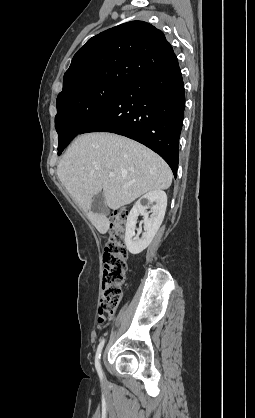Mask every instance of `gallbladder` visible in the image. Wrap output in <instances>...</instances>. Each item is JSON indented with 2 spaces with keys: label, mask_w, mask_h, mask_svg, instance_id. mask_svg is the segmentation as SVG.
<instances>
[{
  "label": "gallbladder",
  "mask_w": 255,
  "mask_h": 418,
  "mask_svg": "<svg viewBox=\"0 0 255 418\" xmlns=\"http://www.w3.org/2000/svg\"><path fill=\"white\" fill-rule=\"evenodd\" d=\"M91 211L93 213L105 215L108 211V207L103 195V192H99L93 197L91 204Z\"/></svg>",
  "instance_id": "obj_1"
}]
</instances>
